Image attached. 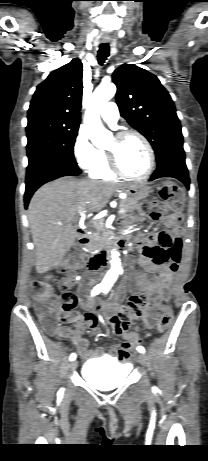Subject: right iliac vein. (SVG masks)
Returning <instances> with one entry per match:
<instances>
[{
    "label": "right iliac vein",
    "instance_id": "right-iliac-vein-1",
    "mask_svg": "<svg viewBox=\"0 0 208 461\" xmlns=\"http://www.w3.org/2000/svg\"><path fill=\"white\" fill-rule=\"evenodd\" d=\"M77 365H78V362L76 360H73L69 365L70 370L74 371L77 368Z\"/></svg>",
    "mask_w": 208,
    "mask_h": 461
}]
</instances>
